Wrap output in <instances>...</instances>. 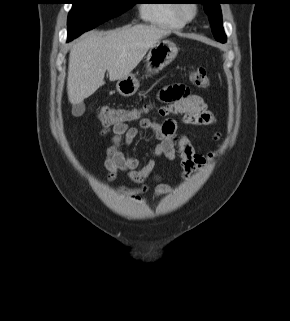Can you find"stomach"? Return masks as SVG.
<instances>
[{
	"label": "stomach",
	"instance_id": "stomach-1",
	"mask_svg": "<svg viewBox=\"0 0 290 321\" xmlns=\"http://www.w3.org/2000/svg\"><path fill=\"white\" fill-rule=\"evenodd\" d=\"M178 54V48L169 40H159L150 49L146 56L145 65L147 74L154 75L170 64ZM140 83L134 74L118 80L117 91L123 96H132L136 93Z\"/></svg>",
	"mask_w": 290,
	"mask_h": 321
}]
</instances>
